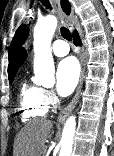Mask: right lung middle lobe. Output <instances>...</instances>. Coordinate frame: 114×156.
<instances>
[{
  "label": "right lung middle lobe",
  "instance_id": "1",
  "mask_svg": "<svg viewBox=\"0 0 114 156\" xmlns=\"http://www.w3.org/2000/svg\"><path fill=\"white\" fill-rule=\"evenodd\" d=\"M13 79H14V76L9 77V82H10V84L13 82Z\"/></svg>",
  "mask_w": 114,
  "mask_h": 156
}]
</instances>
